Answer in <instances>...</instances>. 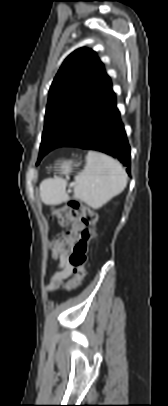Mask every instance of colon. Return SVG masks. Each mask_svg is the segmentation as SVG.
<instances>
[{
	"label": "colon",
	"mask_w": 168,
	"mask_h": 406,
	"mask_svg": "<svg viewBox=\"0 0 168 406\" xmlns=\"http://www.w3.org/2000/svg\"><path fill=\"white\" fill-rule=\"evenodd\" d=\"M52 215L58 223L69 229L53 242L54 254H68L73 277L64 284L65 291L77 288L86 275L85 265L90 242L95 237L97 214L77 200L55 209Z\"/></svg>",
	"instance_id": "obj_1"
}]
</instances>
